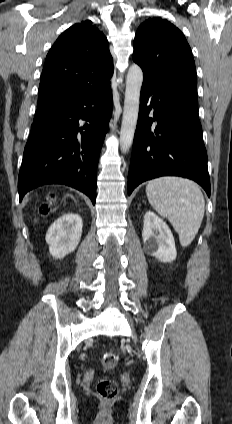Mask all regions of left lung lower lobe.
Here are the masks:
<instances>
[{"mask_svg": "<svg viewBox=\"0 0 232 424\" xmlns=\"http://www.w3.org/2000/svg\"><path fill=\"white\" fill-rule=\"evenodd\" d=\"M150 113L154 118L148 117ZM170 175L196 181L210 196L197 89L143 83L128 174V194L146 180Z\"/></svg>", "mask_w": 232, "mask_h": 424, "instance_id": "left-lung-lower-lobe-1", "label": "left lung lower lobe"}]
</instances>
